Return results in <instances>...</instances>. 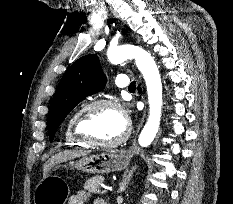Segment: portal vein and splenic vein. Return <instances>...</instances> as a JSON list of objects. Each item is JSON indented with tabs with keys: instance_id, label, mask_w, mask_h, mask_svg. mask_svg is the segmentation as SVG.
<instances>
[{
	"instance_id": "obj_1",
	"label": "portal vein and splenic vein",
	"mask_w": 233,
	"mask_h": 204,
	"mask_svg": "<svg viewBox=\"0 0 233 204\" xmlns=\"http://www.w3.org/2000/svg\"><path fill=\"white\" fill-rule=\"evenodd\" d=\"M108 191V188L107 187H105L103 190H102V192L101 193H106Z\"/></svg>"
}]
</instances>
